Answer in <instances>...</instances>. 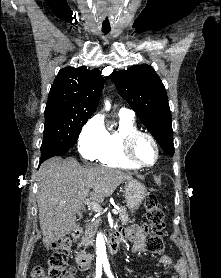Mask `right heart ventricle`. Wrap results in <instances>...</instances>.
<instances>
[{"label": "right heart ventricle", "instance_id": "e07e8e85", "mask_svg": "<svg viewBox=\"0 0 221 278\" xmlns=\"http://www.w3.org/2000/svg\"><path fill=\"white\" fill-rule=\"evenodd\" d=\"M137 131L133 119L120 116L119 124L116 129L106 130L104 143L96 160L106 166L135 169L137 168L128 162L121 153L122 139L125 135Z\"/></svg>", "mask_w": 221, "mask_h": 278}]
</instances>
